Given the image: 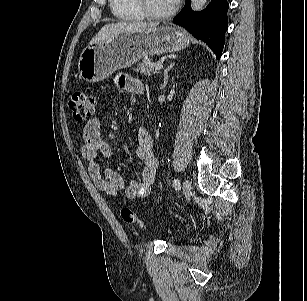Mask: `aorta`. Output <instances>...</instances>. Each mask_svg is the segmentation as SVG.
Here are the masks:
<instances>
[{"mask_svg": "<svg viewBox=\"0 0 307 301\" xmlns=\"http://www.w3.org/2000/svg\"><path fill=\"white\" fill-rule=\"evenodd\" d=\"M206 2L207 0H191V7L193 10L199 11L205 6Z\"/></svg>", "mask_w": 307, "mask_h": 301, "instance_id": "762f6f07", "label": "aorta"}]
</instances>
